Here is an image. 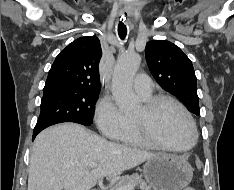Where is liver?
Masks as SVG:
<instances>
[{
    "label": "liver",
    "mask_w": 234,
    "mask_h": 190,
    "mask_svg": "<svg viewBox=\"0 0 234 190\" xmlns=\"http://www.w3.org/2000/svg\"><path fill=\"white\" fill-rule=\"evenodd\" d=\"M157 154L112 143L85 127L64 123L42 131L30 157L27 190H90ZM98 166L91 171L89 164Z\"/></svg>",
    "instance_id": "liver-1"
}]
</instances>
